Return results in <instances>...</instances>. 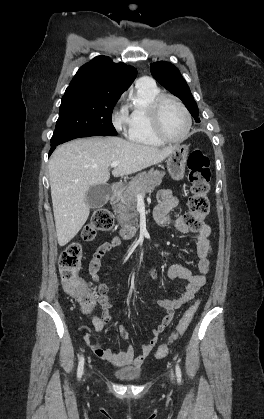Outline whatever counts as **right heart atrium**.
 <instances>
[{"label": "right heart atrium", "mask_w": 264, "mask_h": 419, "mask_svg": "<svg viewBox=\"0 0 264 419\" xmlns=\"http://www.w3.org/2000/svg\"><path fill=\"white\" fill-rule=\"evenodd\" d=\"M112 122L116 130L123 131L128 125V115L126 111H117L113 114Z\"/></svg>", "instance_id": "obj_1"}]
</instances>
